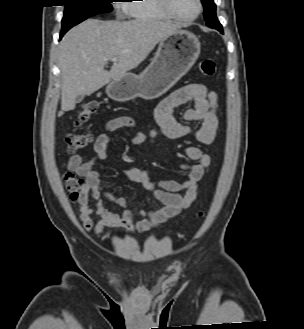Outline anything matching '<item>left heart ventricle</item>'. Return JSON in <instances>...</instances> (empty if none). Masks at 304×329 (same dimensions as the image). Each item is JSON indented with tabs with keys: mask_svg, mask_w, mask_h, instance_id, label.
Returning a JSON list of instances; mask_svg holds the SVG:
<instances>
[{
	"mask_svg": "<svg viewBox=\"0 0 304 329\" xmlns=\"http://www.w3.org/2000/svg\"><path fill=\"white\" fill-rule=\"evenodd\" d=\"M174 12L184 17H192L198 11L197 0H171Z\"/></svg>",
	"mask_w": 304,
	"mask_h": 329,
	"instance_id": "b2bd125f",
	"label": "left heart ventricle"
}]
</instances>
